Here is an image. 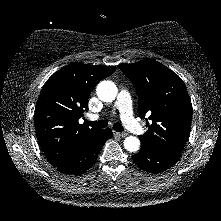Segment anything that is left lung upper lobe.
I'll list each match as a JSON object with an SVG mask.
<instances>
[{"instance_id": "1", "label": "left lung upper lobe", "mask_w": 221, "mask_h": 221, "mask_svg": "<svg viewBox=\"0 0 221 221\" xmlns=\"http://www.w3.org/2000/svg\"><path fill=\"white\" fill-rule=\"evenodd\" d=\"M118 67L134 85L139 115L148 117L149 130L140 141L156 148L181 152L190 133L192 104L182 79L163 64L145 59ZM146 119V118H145Z\"/></svg>"}]
</instances>
